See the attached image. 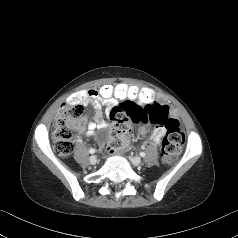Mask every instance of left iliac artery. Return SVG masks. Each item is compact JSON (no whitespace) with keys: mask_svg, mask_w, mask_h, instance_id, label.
<instances>
[{"mask_svg":"<svg viewBox=\"0 0 238 238\" xmlns=\"http://www.w3.org/2000/svg\"><path fill=\"white\" fill-rule=\"evenodd\" d=\"M145 155H146V154H145L144 152H140V156H141V157H145Z\"/></svg>","mask_w":238,"mask_h":238,"instance_id":"obj_1","label":"left iliac artery"}]
</instances>
